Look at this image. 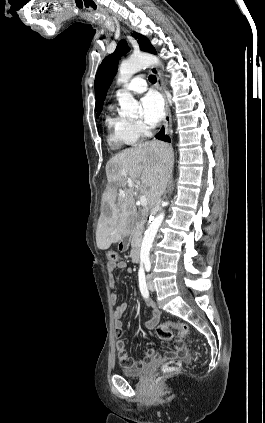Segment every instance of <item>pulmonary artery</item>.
I'll return each instance as SVG.
<instances>
[{
    "mask_svg": "<svg viewBox=\"0 0 265 423\" xmlns=\"http://www.w3.org/2000/svg\"><path fill=\"white\" fill-rule=\"evenodd\" d=\"M125 89L134 94H140L146 91L147 84L143 77L138 76L132 79L131 82L125 86Z\"/></svg>",
    "mask_w": 265,
    "mask_h": 423,
    "instance_id": "pulmonary-artery-1",
    "label": "pulmonary artery"
}]
</instances>
